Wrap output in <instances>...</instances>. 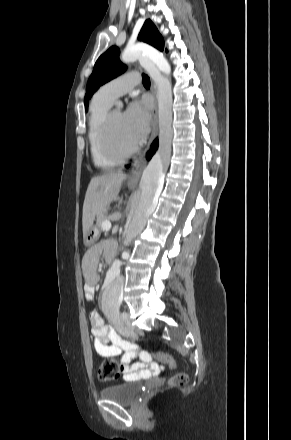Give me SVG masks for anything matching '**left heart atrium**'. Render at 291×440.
<instances>
[{
  "label": "left heart atrium",
  "instance_id": "1",
  "mask_svg": "<svg viewBox=\"0 0 291 440\" xmlns=\"http://www.w3.org/2000/svg\"><path fill=\"white\" fill-rule=\"evenodd\" d=\"M132 138L138 142L148 131L150 108L146 101H133L123 114Z\"/></svg>",
  "mask_w": 291,
  "mask_h": 440
}]
</instances>
